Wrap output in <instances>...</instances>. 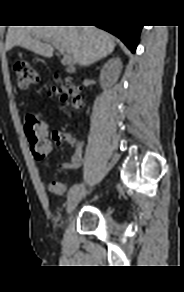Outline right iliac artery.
Returning <instances> with one entry per match:
<instances>
[{"instance_id":"right-iliac-artery-1","label":"right iliac artery","mask_w":184,"mask_h":292,"mask_svg":"<svg viewBox=\"0 0 184 292\" xmlns=\"http://www.w3.org/2000/svg\"><path fill=\"white\" fill-rule=\"evenodd\" d=\"M83 188V184H77L70 188L68 192V196L72 195L73 193L81 190Z\"/></svg>"}]
</instances>
